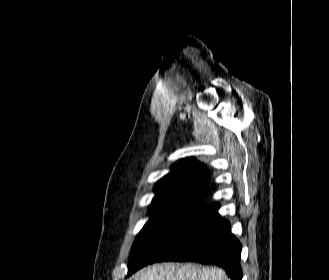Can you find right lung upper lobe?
<instances>
[{"instance_id":"cb5924a9","label":"right lung upper lobe","mask_w":329,"mask_h":280,"mask_svg":"<svg viewBox=\"0 0 329 280\" xmlns=\"http://www.w3.org/2000/svg\"><path fill=\"white\" fill-rule=\"evenodd\" d=\"M207 182L208 176L203 164L194 158L182 159L173 165L169 174L156 183V196L152 205L171 198L202 200Z\"/></svg>"}]
</instances>
